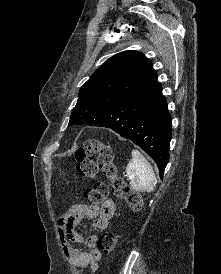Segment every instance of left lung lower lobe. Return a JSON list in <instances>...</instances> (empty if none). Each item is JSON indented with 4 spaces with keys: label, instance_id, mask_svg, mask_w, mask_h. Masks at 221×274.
Listing matches in <instances>:
<instances>
[{
    "label": "left lung lower lobe",
    "instance_id": "0a47b994",
    "mask_svg": "<svg viewBox=\"0 0 221 274\" xmlns=\"http://www.w3.org/2000/svg\"><path fill=\"white\" fill-rule=\"evenodd\" d=\"M90 125L110 128L140 146L157 164L163 178L169 161L171 116L155 75L134 99L97 109Z\"/></svg>",
    "mask_w": 221,
    "mask_h": 274
}]
</instances>
